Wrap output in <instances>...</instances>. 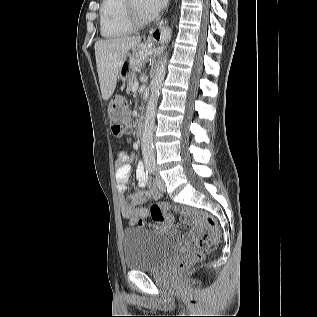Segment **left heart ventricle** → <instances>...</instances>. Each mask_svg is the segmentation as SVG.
Listing matches in <instances>:
<instances>
[{
    "label": "left heart ventricle",
    "instance_id": "obj_1",
    "mask_svg": "<svg viewBox=\"0 0 317 317\" xmlns=\"http://www.w3.org/2000/svg\"><path fill=\"white\" fill-rule=\"evenodd\" d=\"M132 5L141 16L147 17L144 11V0H132Z\"/></svg>",
    "mask_w": 317,
    "mask_h": 317
}]
</instances>
